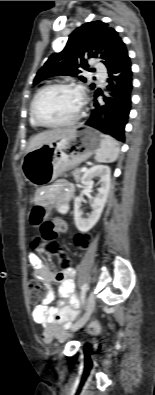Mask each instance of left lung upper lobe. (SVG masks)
<instances>
[{"mask_svg": "<svg viewBox=\"0 0 155 395\" xmlns=\"http://www.w3.org/2000/svg\"><path fill=\"white\" fill-rule=\"evenodd\" d=\"M128 51L118 33L102 21L88 22L77 28L68 39L65 48L52 54L38 71L34 84L55 75L80 76L90 71L88 58H100L108 69L117 65ZM95 85L92 84L91 88Z\"/></svg>", "mask_w": 155, "mask_h": 395, "instance_id": "left-lung-upper-lobe-1", "label": "left lung upper lobe"}]
</instances>
